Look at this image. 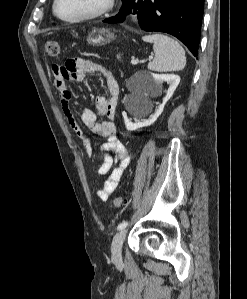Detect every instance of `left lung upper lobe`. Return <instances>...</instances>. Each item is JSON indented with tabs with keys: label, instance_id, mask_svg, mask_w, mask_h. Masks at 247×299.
<instances>
[{
	"label": "left lung upper lobe",
	"instance_id": "obj_1",
	"mask_svg": "<svg viewBox=\"0 0 247 299\" xmlns=\"http://www.w3.org/2000/svg\"><path fill=\"white\" fill-rule=\"evenodd\" d=\"M130 2V0H122V7H125L128 3Z\"/></svg>",
	"mask_w": 247,
	"mask_h": 299
}]
</instances>
